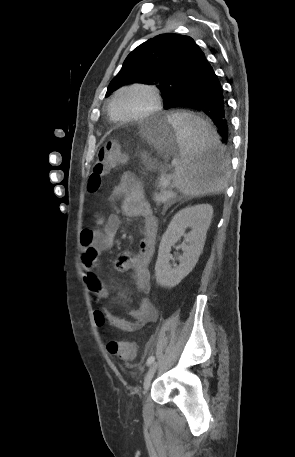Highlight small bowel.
I'll list each match as a JSON object with an SVG mask.
<instances>
[{
    "label": "small bowel",
    "mask_w": 295,
    "mask_h": 457,
    "mask_svg": "<svg viewBox=\"0 0 295 457\" xmlns=\"http://www.w3.org/2000/svg\"><path fill=\"white\" fill-rule=\"evenodd\" d=\"M111 195L122 198V211L128 217L143 220V238L137 254L121 253L114 262L120 272L132 273L137 292L146 295L150 291L149 263L155 251L158 224L148 201L144 197L143 187L136 177L124 173L114 185ZM120 219L116 214L100 212L94 218L92 228L81 233L82 276L89 291L98 298L109 299L110 289L97 274V261L101 253L112 248L114 238L120 228ZM104 317V325L115 327L124 332H135L149 323L158 321L159 313L155 305L143 298L137 309L129 311L131 319L113 315L107 309H99ZM100 326V325H99Z\"/></svg>",
    "instance_id": "obj_1"
}]
</instances>
